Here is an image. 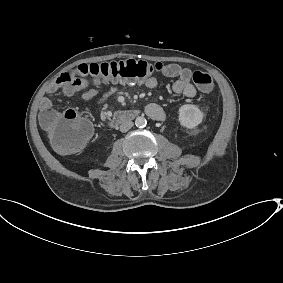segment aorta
I'll return each mask as SVG.
<instances>
[{
	"label": "aorta",
	"instance_id": "obj_1",
	"mask_svg": "<svg viewBox=\"0 0 283 283\" xmlns=\"http://www.w3.org/2000/svg\"><path fill=\"white\" fill-rule=\"evenodd\" d=\"M146 124H147V121H146V119H145L144 117H142V116H139V117H137V118L135 119V125H136L137 127H139V128L145 127Z\"/></svg>",
	"mask_w": 283,
	"mask_h": 283
}]
</instances>
